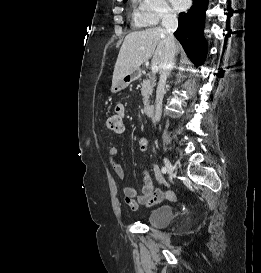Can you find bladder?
<instances>
[{
  "label": "bladder",
  "mask_w": 261,
  "mask_h": 273,
  "mask_svg": "<svg viewBox=\"0 0 261 273\" xmlns=\"http://www.w3.org/2000/svg\"><path fill=\"white\" fill-rule=\"evenodd\" d=\"M173 217L172 209L168 205H161L153 209L146 217V223L150 226L165 227Z\"/></svg>",
  "instance_id": "bladder-1"
}]
</instances>
